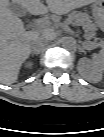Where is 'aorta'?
I'll use <instances>...</instances> for the list:
<instances>
[{
  "label": "aorta",
  "instance_id": "aorta-1",
  "mask_svg": "<svg viewBox=\"0 0 104 137\" xmlns=\"http://www.w3.org/2000/svg\"><path fill=\"white\" fill-rule=\"evenodd\" d=\"M62 47L66 50H75L77 48V42L73 37H63L61 40Z\"/></svg>",
  "mask_w": 104,
  "mask_h": 137
}]
</instances>
